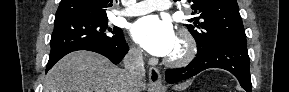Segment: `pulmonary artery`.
I'll return each instance as SVG.
<instances>
[{
  "mask_svg": "<svg viewBox=\"0 0 289 92\" xmlns=\"http://www.w3.org/2000/svg\"><path fill=\"white\" fill-rule=\"evenodd\" d=\"M170 7L171 2L168 0H144L134 4L126 10L121 11L119 15L140 16L155 10H167Z\"/></svg>",
  "mask_w": 289,
  "mask_h": 92,
  "instance_id": "1",
  "label": "pulmonary artery"
}]
</instances>
